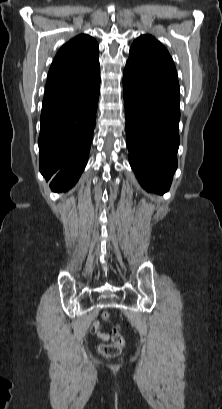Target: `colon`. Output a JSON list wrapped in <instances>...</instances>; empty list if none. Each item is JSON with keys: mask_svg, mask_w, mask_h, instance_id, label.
Returning a JSON list of instances; mask_svg holds the SVG:
<instances>
[{"mask_svg": "<svg viewBox=\"0 0 222 409\" xmlns=\"http://www.w3.org/2000/svg\"><path fill=\"white\" fill-rule=\"evenodd\" d=\"M102 317L104 320H108L109 314L107 312H103ZM111 330L112 342L100 346L101 354L109 358L118 356L125 347V340L120 333L119 326L112 325Z\"/></svg>", "mask_w": 222, "mask_h": 409, "instance_id": "1", "label": "colon"}]
</instances>
